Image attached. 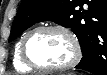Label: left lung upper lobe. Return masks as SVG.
Returning a JSON list of instances; mask_svg holds the SVG:
<instances>
[{"label": "left lung upper lobe", "instance_id": "obj_1", "mask_svg": "<svg viewBox=\"0 0 107 75\" xmlns=\"http://www.w3.org/2000/svg\"><path fill=\"white\" fill-rule=\"evenodd\" d=\"M84 0H22L13 21L9 41L14 40L36 22L51 20L71 28L81 45L90 22L98 21L93 13L83 10ZM95 33L100 40L107 39V17L97 22Z\"/></svg>", "mask_w": 107, "mask_h": 75}]
</instances>
